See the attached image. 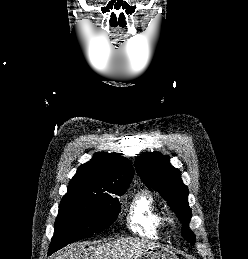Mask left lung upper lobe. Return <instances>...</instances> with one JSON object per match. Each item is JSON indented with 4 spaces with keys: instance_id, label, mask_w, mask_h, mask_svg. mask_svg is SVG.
I'll use <instances>...</instances> for the list:
<instances>
[{
    "instance_id": "left-lung-upper-lobe-1",
    "label": "left lung upper lobe",
    "mask_w": 248,
    "mask_h": 259,
    "mask_svg": "<svg viewBox=\"0 0 248 259\" xmlns=\"http://www.w3.org/2000/svg\"><path fill=\"white\" fill-rule=\"evenodd\" d=\"M135 168L148 188L158 191L170 208L182 221V236L191 244L195 235L189 229L191 209L188 204V188L181 180V173L171 166L168 156L158 152L145 153L135 160Z\"/></svg>"
}]
</instances>
